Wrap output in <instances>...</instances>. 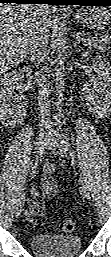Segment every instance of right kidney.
<instances>
[{"mask_svg": "<svg viewBox=\"0 0 111 257\" xmlns=\"http://www.w3.org/2000/svg\"><path fill=\"white\" fill-rule=\"evenodd\" d=\"M29 67H22L19 70L7 72L0 80V99H1V122L10 124L15 122L10 118H15L17 113H20L22 107L26 104L21 103L18 98H14V89L19 86V82L24 81L25 73L31 74ZM24 109V108H23Z\"/></svg>", "mask_w": 111, "mask_h": 257, "instance_id": "ca27d5eb", "label": "right kidney"}]
</instances>
